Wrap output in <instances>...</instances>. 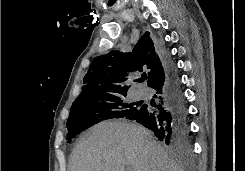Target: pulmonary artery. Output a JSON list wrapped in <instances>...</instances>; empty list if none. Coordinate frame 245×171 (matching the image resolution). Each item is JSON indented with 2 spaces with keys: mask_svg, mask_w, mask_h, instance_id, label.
I'll list each match as a JSON object with an SVG mask.
<instances>
[{
  "mask_svg": "<svg viewBox=\"0 0 245 171\" xmlns=\"http://www.w3.org/2000/svg\"><path fill=\"white\" fill-rule=\"evenodd\" d=\"M148 94L147 90L143 87L137 88V95L138 97H145Z\"/></svg>",
  "mask_w": 245,
  "mask_h": 171,
  "instance_id": "1",
  "label": "pulmonary artery"
}]
</instances>
